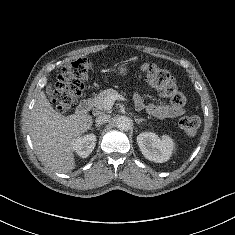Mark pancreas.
I'll return each mask as SVG.
<instances>
[{"instance_id":"1","label":"pancreas","mask_w":235,"mask_h":235,"mask_svg":"<svg viewBox=\"0 0 235 235\" xmlns=\"http://www.w3.org/2000/svg\"><path fill=\"white\" fill-rule=\"evenodd\" d=\"M112 95H118V92L114 89H106L101 91L97 96L92 99L93 106L99 110L104 109L105 99Z\"/></svg>"}]
</instances>
